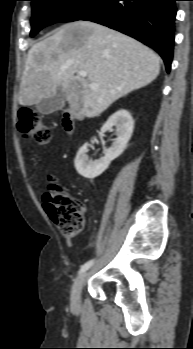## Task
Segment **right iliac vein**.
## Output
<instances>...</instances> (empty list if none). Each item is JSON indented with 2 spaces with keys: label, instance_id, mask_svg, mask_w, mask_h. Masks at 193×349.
<instances>
[{
  "label": "right iliac vein",
  "instance_id": "1",
  "mask_svg": "<svg viewBox=\"0 0 193 349\" xmlns=\"http://www.w3.org/2000/svg\"><path fill=\"white\" fill-rule=\"evenodd\" d=\"M88 273L83 272L74 281L71 289V306L73 309L78 310L81 306V292L83 285L86 281Z\"/></svg>",
  "mask_w": 193,
  "mask_h": 349
}]
</instances>
